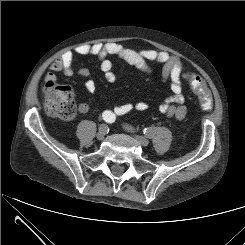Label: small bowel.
<instances>
[{"label":"small bowel","mask_w":245,"mask_h":245,"mask_svg":"<svg viewBox=\"0 0 245 245\" xmlns=\"http://www.w3.org/2000/svg\"><path fill=\"white\" fill-rule=\"evenodd\" d=\"M75 52L79 55H96L100 61V68L104 74V78L109 83H114L117 79L110 57L118 58L146 74L152 73L150 63L161 64L162 70L160 79L163 81H170L171 96L160 105L159 111L167 117L176 120H183L185 118L187 108L184 105L185 96L182 81L184 64L179 57L156 50L136 51L117 43L99 42L79 45L76 47ZM73 60V52L67 51L62 54L49 66V71L45 75V81L56 82L55 72H62L66 76H72L75 73ZM76 73L79 76L86 78L90 75L89 71L85 68L78 69ZM85 88L89 93H94L96 84L93 80L88 79L85 83ZM147 109L148 104L145 101H136L116 105L111 110H106L107 112H104L105 114L110 115L111 120L115 121L117 116L128 114L131 111L144 112ZM88 110V104H79V113H86Z\"/></svg>","instance_id":"obj_1"}]
</instances>
